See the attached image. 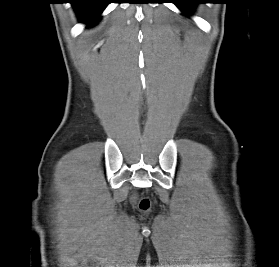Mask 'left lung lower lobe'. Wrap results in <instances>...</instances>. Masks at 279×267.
Wrapping results in <instances>:
<instances>
[{"instance_id": "left-lung-lower-lobe-1", "label": "left lung lower lobe", "mask_w": 279, "mask_h": 267, "mask_svg": "<svg viewBox=\"0 0 279 267\" xmlns=\"http://www.w3.org/2000/svg\"><path fill=\"white\" fill-rule=\"evenodd\" d=\"M182 11L188 12L194 4L201 3L199 0H175L174 2Z\"/></svg>"}]
</instances>
